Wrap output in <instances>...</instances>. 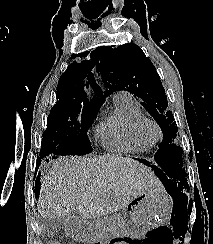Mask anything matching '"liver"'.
I'll return each mask as SVG.
<instances>
[{"instance_id": "liver-1", "label": "liver", "mask_w": 213, "mask_h": 244, "mask_svg": "<svg viewBox=\"0 0 213 244\" xmlns=\"http://www.w3.org/2000/svg\"><path fill=\"white\" fill-rule=\"evenodd\" d=\"M160 188L152 170L129 157H58L41 176L38 210L41 217L56 219L76 207L83 220H98Z\"/></svg>"}]
</instances>
